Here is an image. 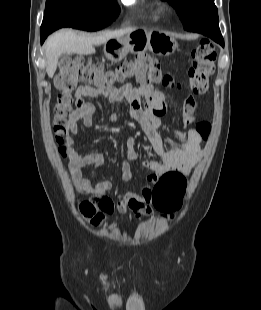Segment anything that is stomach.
Here are the masks:
<instances>
[{
  "instance_id": "0dacf381",
  "label": "stomach",
  "mask_w": 261,
  "mask_h": 310,
  "mask_svg": "<svg viewBox=\"0 0 261 310\" xmlns=\"http://www.w3.org/2000/svg\"><path fill=\"white\" fill-rule=\"evenodd\" d=\"M178 44L176 40L162 31L136 29L124 38L110 39L104 45V53L112 62L121 61L128 52L146 51L159 55H171Z\"/></svg>"
}]
</instances>
